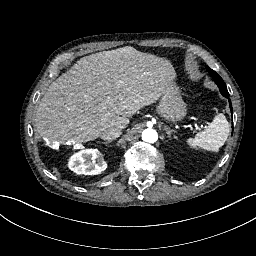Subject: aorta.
I'll use <instances>...</instances> for the list:
<instances>
[{
	"label": "aorta",
	"mask_w": 256,
	"mask_h": 256,
	"mask_svg": "<svg viewBox=\"0 0 256 256\" xmlns=\"http://www.w3.org/2000/svg\"><path fill=\"white\" fill-rule=\"evenodd\" d=\"M146 133L144 136L143 134ZM144 136V138H143ZM142 140L147 143H155L158 140V133L155 129L149 128L142 132Z\"/></svg>",
	"instance_id": "aorta-1"
}]
</instances>
